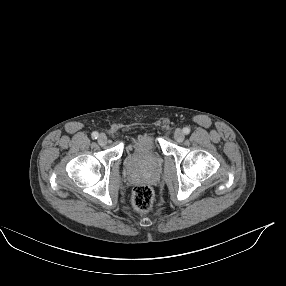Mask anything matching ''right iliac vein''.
Listing matches in <instances>:
<instances>
[{
    "label": "right iliac vein",
    "instance_id": "1",
    "mask_svg": "<svg viewBox=\"0 0 286 286\" xmlns=\"http://www.w3.org/2000/svg\"><path fill=\"white\" fill-rule=\"evenodd\" d=\"M107 141H108V139H107V136L105 135V134H101L99 137H98V143L100 144V145H105V144H107Z\"/></svg>",
    "mask_w": 286,
    "mask_h": 286
}]
</instances>
